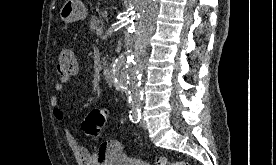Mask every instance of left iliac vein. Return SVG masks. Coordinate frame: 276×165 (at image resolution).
<instances>
[{
	"mask_svg": "<svg viewBox=\"0 0 276 165\" xmlns=\"http://www.w3.org/2000/svg\"><path fill=\"white\" fill-rule=\"evenodd\" d=\"M140 126H141L142 128H146V127H147V123H146V121L144 120L143 117H141Z\"/></svg>",
	"mask_w": 276,
	"mask_h": 165,
	"instance_id": "obj_1",
	"label": "left iliac vein"
}]
</instances>
